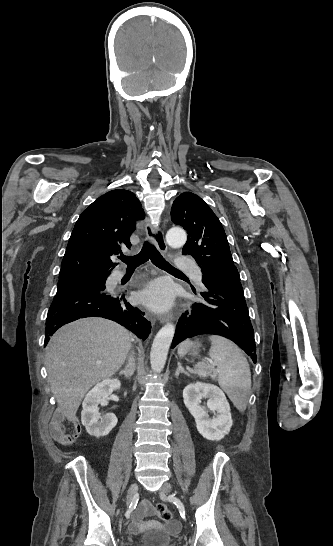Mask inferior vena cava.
Wrapping results in <instances>:
<instances>
[{"instance_id":"obj_1","label":"inferior vena cava","mask_w":333,"mask_h":546,"mask_svg":"<svg viewBox=\"0 0 333 546\" xmlns=\"http://www.w3.org/2000/svg\"><path fill=\"white\" fill-rule=\"evenodd\" d=\"M128 367L131 368V367H134V358L133 356L131 355L128 359Z\"/></svg>"}]
</instances>
